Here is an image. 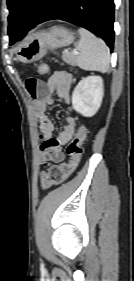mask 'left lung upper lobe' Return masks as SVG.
<instances>
[{
    "instance_id": "5c2ea615",
    "label": "left lung upper lobe",
    "mask_w": 134,
    "mask_h": 281,
    "mask_svg": "<svg viewBox=\"0 0 134 281\" xmlns=\"http://www.w3.org/2000/svg\"><path fill=\"white\" fill-rule=\"evenodd\" d=\"M48 0H7L10 11L8 35L10 44L22 38L31 28L34 20Z\"/></svg>"
}]
</instances>
